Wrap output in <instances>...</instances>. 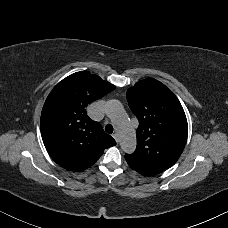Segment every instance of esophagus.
Here are the masks:
<instances>
[{
	"instance_id": "obj_1",
	"label": "esophagus",
	"mask_w": 228,
	"mask_h": 228,
	"mask_svg": "<svg viewBox=\"0 0 228 228\" xmlns=\"http://www.w3.org/2000/svg\"><path fill=\"white\" fill-rule=\"evenodd\" d=\"M113 138H114L117 142L119 141L117 134H113Z\"/></svg>"
}]
</instances>
